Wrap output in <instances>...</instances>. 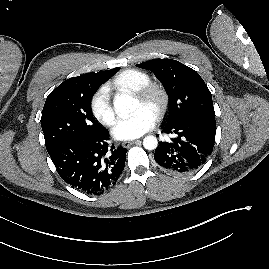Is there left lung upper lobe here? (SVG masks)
Returning a JSON list of instances; mask_svg holds the SVG:
<instances>
[{
	"label": "left lung upper lobe",
	"instance_id": "5c2ea615",
	"mask_svg": "<svg viewBox=\"0 0 269 269\" xmlns=\"http://www.w3.org/2000/svg\"><path fill=\"white\" fill-rule=\"evenodd\" d=\"M150 70L169 97L167 124L192 117H215L212 95L200 75L172 59H154L136 65Z\"/></svg>",
	"mask_w": 269,
	"mask_h": 269
}]
</instances>
